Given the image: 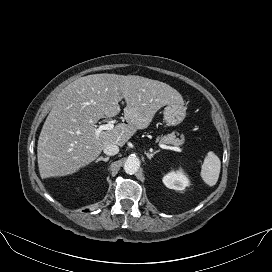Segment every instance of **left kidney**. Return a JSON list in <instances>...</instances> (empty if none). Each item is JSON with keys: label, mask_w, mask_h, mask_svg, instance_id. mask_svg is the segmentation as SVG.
I'll use <instances>...</instances> for the list:
<instances>
[{"label": "left kidney", "mask_w": 272, "mask_h": 272, "mask_svg": "<svg viewBox=\"0 0 272 272\" xmlns=\"http://www.w3.org/2000/svg\"><path fill=\"white\" fill-rule=\"evenodd\" d=\"M163 183L169 189L184 190L189 185V180L181 169L171 171L163 177Z\"/></svg>", "instance_id": "5707ae66"}]
</instances>
